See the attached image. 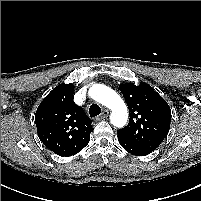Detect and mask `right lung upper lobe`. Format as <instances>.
I'll return each mask as SVG.
<instances>
[{"mask_svg": "<svg viewBox=\"0 0 201 201\" xmlns=\"http://www.w3.org/2000/svg\"><path fill=\"white\" fill-rule=\"evenodd\" d=\"M73 84L56 86L40 103L35 123L44 145L59 156L81 151L93 131L91 120L73 101Z\"/></svg>", "mask_w": 201, "mask_h": 201, "instance_id": "cb5924a9", "label": "right lung upper lobe"}]
</instances>
